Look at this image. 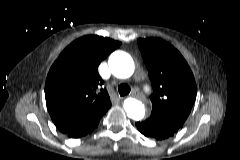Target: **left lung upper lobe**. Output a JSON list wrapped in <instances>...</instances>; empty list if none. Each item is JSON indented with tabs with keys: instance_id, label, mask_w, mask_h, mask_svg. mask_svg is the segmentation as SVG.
I'll return each instance as SVG.
<instances>
[{
	"instance_id": "5c2ea615",
	"label": "left lung upper lobe",
	"mask_w": 240,
	"mask_h": 160,
	"mask_svg": "<svg viewBox=\"0 0 240 160\" xmlns=\"http://www.w3.org/2000/svg\"><path fill=\"white\" fill-rule=\"evenodd\" d=\"M138 46L154 90L150 119L176 133L195 102L193 73L180 52L162 39L140 38Z\"/></svg>"
}]
</instances>
